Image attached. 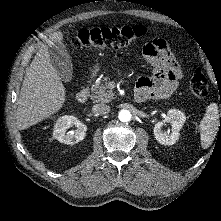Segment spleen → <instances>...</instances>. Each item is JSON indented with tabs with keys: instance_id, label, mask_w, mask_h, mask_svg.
<instances>
[{
	"instance_id": "1",
	"label": "spleen",
	"mask_w": 221,
	"mask_h": 221,
	"mask_svg": "<svg viewBox=\"0 0 221 221\" xmlns=\"http://www.w3.org/2000/svg\"><path fill=\"white\" fill-rule=\"evenodd\" d=\"M219 127V112L216 103H211L203 119L200 122L201 145L204 149L208 148L214 141Z\"/></svg>"
}]
</instances>
